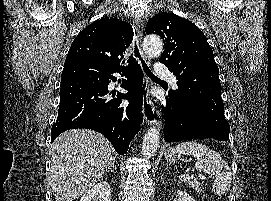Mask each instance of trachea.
I'll return each instance as SVG.
<instances>
[{"instance_id": "trachea-1", "label": "trachea", "mask_w": 271, "mask_h": 201, "mask_svg": "<svg viewBox=\"0 0 271 201\" xmlns=\"http://www.w3.org/2000/svg\"><path fill=\"white\" fill-rule=\"evenodd\" d=\"M134 54L137 58H139L141 60V64H142V67H143V70L144 72L146 73V75L151 78V79H158L159 78L157 76H155L151 70L149 69V67L147 66V64L145 63V61L141 58V55L139 53V50L137 48V46L135 45V48H134Z\"/></svg>"}]
</instances>
